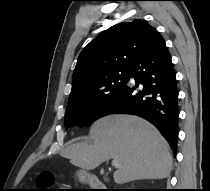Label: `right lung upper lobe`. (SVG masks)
<instances>
[{
  "mask_svg": "<svg viewBox=\"0 0 210 191\" xmlns=\"http://www.w3.org/2000/svg\"><path fill=\"white\" fill-rule=\"evenodd\" d=\"M159 32L146 21L122 22L103 31L79 55L69 98L87 90L104 73L130 68Z\"/></svg>",
  "mask_w": 210,
  "mask_h": 191,
  "instance_id": "obj_1",
  "label": "right lung upper lobe"
}]
</instances>
